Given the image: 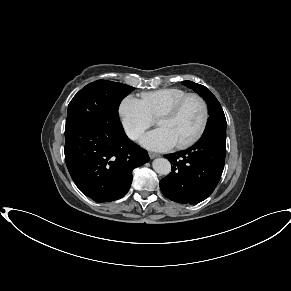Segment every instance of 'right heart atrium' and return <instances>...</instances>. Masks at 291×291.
<instances>
[{
  "label": "right heart atrium",
  "instance_id": "1",
  "mask_svg": "<svg viewBox=\"0 0 291 291\" xmlns=\"http://www.w3.org/2000/svg\"><path fill=\"white\" fill-rule=\"evenodd\" d=\"M118 114L126 135L134 141L139 140L153 123L143 102L133 95H127L122 99Z\"/></svg>",
  "mask_w": 291,
  "mask_h": 291
}]
</instances>
